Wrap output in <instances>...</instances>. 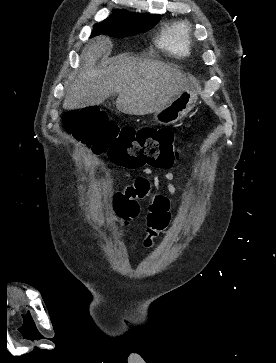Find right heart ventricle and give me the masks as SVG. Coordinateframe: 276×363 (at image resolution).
<instances>
[{
  "instance_id": "obj_1",
  "label": "right heart ventricle",
  "mask_w": 276,
  "mask_h": 363,
  "mask_svg": "<svg viewBox=\"0 0 276 363\" xmlns=\"http://www.w3.org/2000/svg\"><path fill=\"white\" fill-rule=\"evenodd\" d=\"M187 32L188 29L184 23L168 27L160 37L161 47L177 55L187 54L189 50Z\"/></svg>"
}]
</instances>
